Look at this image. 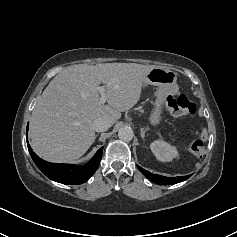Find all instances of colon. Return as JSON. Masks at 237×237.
<instances>
[{
    "mask_svg": "<svg viewBox=\"0 0 237 237\" xmlns=\"http://www.w3.org/2000/svg\"><path fill=\"white\" fill-rule=\"evenodd\" d=\"M166 109L173 116L193 115L196 113V105L184 94L168 96ZM207 133L205 129L200 131L199 137L190 145V151L195 155H201L206 146Z\"/></svg>",
    "mask_w": 237,
    "mask_h": 237,
    "instance_id": "1",
    "label": "colon"
}]
</instances>
